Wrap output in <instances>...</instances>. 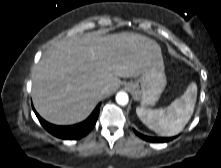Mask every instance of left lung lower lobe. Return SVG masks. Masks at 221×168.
Segmentation results:
<instances>
[{
    "instance_id": "left-lung-lower-lobe-1",
    "label": "left lung lower lobe",
    "mask_w": 221,
    "mask_h": 168,
    "mask_svg": "<svg viewBox=\"0 0 221 168\" xmlns=\"http://www.w3.org/2000/svg\"><path fill=\"white\" fill-rule=\"evenodd\" d=\"M134 132L142 139L149 141V142H156V143H160V142H168L170 140H172L173 138H166V137H149V136H145L139 132H137L136 130H134Z\"/></svg>"
}]
</instances>
